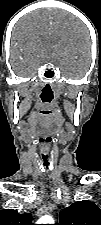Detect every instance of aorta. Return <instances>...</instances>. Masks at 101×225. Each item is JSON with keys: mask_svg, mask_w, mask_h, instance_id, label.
Returning a JSON list of instances; mask_svg holds the SVG:
<instances>
[{"mask_svg": "<svg viewBox=\"0 0 101 225\" xmlns=\"http://www.w3.org/2000/svg\"><path fill=\"white\" fill-rule=\"evenodd\" d=\"M54 221L51 216L45 215L39 219L38 224H53Z\"/></svg>", "mask_w": 101, "mask_h": 225, "instance_id": "obj_1", "label": "aorta"}]
</instances>
